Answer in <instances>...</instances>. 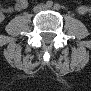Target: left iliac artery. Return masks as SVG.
<instances>
[{
  "label": "left iliac artery",
  "instance_id": "44dca946",
  "mask_svg": "<svg viewBox=\"0 0 91 91\" xmlns=\"http://www.w3.org/2000/svg\"><path fill=\"white\" fill-rule=\"evenodd\" d=\"M54 8H55L56 10H58V9H59V5L56 4V5L54 6Z\"/></svg>",
  "mask_w": 91,
  "mask_h": 91
}]
</instances>
